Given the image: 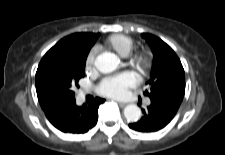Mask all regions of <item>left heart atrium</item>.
Segmentation results:
<instances>
[{
  "mask_svg": "<svg viewBox=\"0 0 225 155\" xmlns=\"http://www.w3.org/2000/svg\"><path fill=\"white\" fill-rule=\"evenodd\" d=\"M139 78L132 72H123L105 78L99 86L101 94L113 98H121L126 92L137 86Z\"/></svg>",
  "mask_w": 225,
  "mask_h": 155,
  "instance_id": "obj_1",
  "label": "left heart atrium"
}]
</instances>
